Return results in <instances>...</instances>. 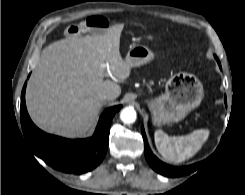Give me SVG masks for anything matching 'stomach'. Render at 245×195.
I'll list each match as a JSON object with an SVG mask.
<instances>
[{"mask_svg":"<svg viewBox=\"0 0 245 195\" xmlns=\"http://www.w3.org/2000/svg\"><path fill=\"white\" fill-rule=\"evenodd\" d=\"M154 58L151 50L142 45L130 48L126 61L132 67L148 63ZM204 96L203 85L193 74L179 72L172 75L165 84V92L160 96L147 100L155 125L179 122L198 107Z\"/></svg>","mask_w":245,"mask_h":195,"instance_id":"stomach-1","label":"stomach"}]
</instances>
